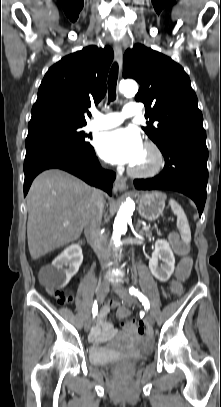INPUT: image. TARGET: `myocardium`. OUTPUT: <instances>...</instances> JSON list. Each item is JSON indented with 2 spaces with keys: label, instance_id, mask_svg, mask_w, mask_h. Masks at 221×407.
I'll use <instances>...</instances> for the list:
<instances>
[{
  "label": "myocardium",
  "instance_id": "obj_1",
  "mask_svg": "<svg viewBox=\"0 0 221 407\" xmlns=\"http://www.w3.org/2000/svg\"><path fill=\"white\" fill-rule=\"evenodd\" d=\"M144 147L150 150L154 155V165L151 168L145 170H139L131 166L129 168V173L132 176L138 178H151L158 175L163 170L165 166V158L162 150L154 142L147 141L145 142Z\"/></svg>",
  "mask_w": 221,
  "mask_h": 407
}]
</instances>
